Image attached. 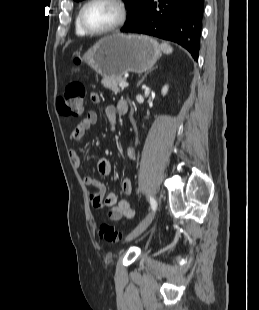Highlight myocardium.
Masks as SVG:
<instances>
[{
    "label": "myocardium",
    "mask_w": 259,
    "mask_h": 310,
    "mask_svg": "<svg viewBox=\"0 0 259 310\" xmlns=\"http://www.w3.org/2000/svg\"><path fill=\"white\" fill-rule=\"evenodd\" d=\"M99 1V0H88L86 1L83 6L81 7L79 14H78V21L79 24L81 26V28L83 29V31L90 36H103V35H107L110 33H113L117 30H119L120 28H122L128 18V8L125 4V2L123 0H105L108 1L112 4H114L118 11H119V16L118 19L115 23H113L112 25H110L109 27L102 29V30H93L91 28H89L85 21H84V11L85 9L92 3Z\"/></svg>",
    "instance_id": "f54148a6"
}]
</instances>
